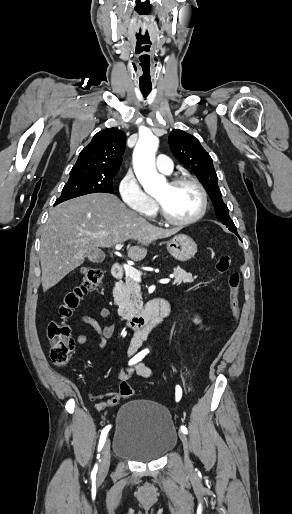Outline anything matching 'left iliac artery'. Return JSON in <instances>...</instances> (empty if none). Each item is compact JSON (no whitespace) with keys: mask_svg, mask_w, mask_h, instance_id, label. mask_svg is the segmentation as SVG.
I'll return each instance as SVG.
<instances>
[{"mask_svg":"<svg viewBox=\"0 0 292 514\" xmlns=\"http://www.w3.org/2000/svg\"><path fill=\"white\" fill-rule=\"evenodd\" d=\"M181 396H182V389H181V387H180L179 385H177V386H176V400H177V401H179V400H180V398H181ZM180 429H181V431H182L184 434H187V433H188V430H187V428H186L184 425H182V426L180 427Z\"/></svg>","mask_w":292,"mask_h":514,"instance_id":"1","label":"left iliac artery"}]
</instances>
